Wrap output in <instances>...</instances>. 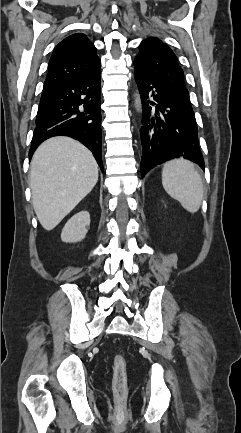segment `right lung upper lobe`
I'll return each mask as SVG.
<instances>
[{
  "label": "right lung upper lobe",
  "mask_w": 241,
  "mask_h": 433,
  "mask_svg": "<svg viewBox=\"0 0 241 433\" xmlns=\"http://www.w3.org/2000/svg\"><path fill=\"white\" fill-rule=\"evenodd\" d=\"M100 66L101 61L94 44L82 33L73 34L61 41L53 51L43 89L74 77L91 74Z\"/></svg>",
  "instance_id": "obj_1"
}]
</instances>
